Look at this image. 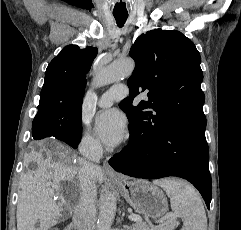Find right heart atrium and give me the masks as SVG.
Instances as JSON below:
<instances>
[{"instance_id":"right-heart-atrium-1","label":"right heart atrium","mask_w":241,"mask_h":230,"mask_svg":"<svg viewBox=\"0 0 241 230\" xmlns=\"http://www.w3.org/2000/svg\"><path fill=\"white\" fill-rule=\"evenodd\" d=\"M79 149L84 155L92 157L99 154L102 147L98 140L89 133L84 132L79 139Z\"/></svg>"}]
</instances>
